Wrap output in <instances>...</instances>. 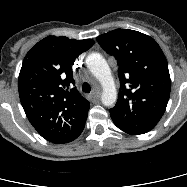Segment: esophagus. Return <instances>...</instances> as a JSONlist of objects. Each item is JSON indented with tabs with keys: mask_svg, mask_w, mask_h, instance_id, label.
Listing matches in <instances>:
<instances>
[{
	"mask_svg": "<svg viewBox=\"0 0 187 187\" xmlns=\"http://www.w3.org/2000/svg\"><path fill=\"white\" fill-rule=\"evenodd\" d=\"M89 100L94 102L100 98V92L93 91L91 94L88 96Z\"/></svg>",
	"mask_w": 187,
	"mask_h": 187,
	"instance_id": "34e87169",
	"label": "esophagus"
}]
</instances>
